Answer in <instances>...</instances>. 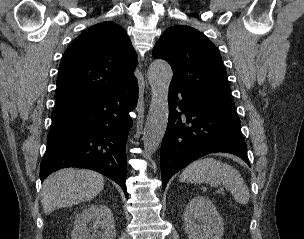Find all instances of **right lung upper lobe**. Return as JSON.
<instances>
[{"mask_svg": "<svg viewBox=\"0 0 304 239\" xmlns=\"http://www.w3.org/2000/svg\"><path fill=\"white\" fill-rule=\"evenodd\" d=\"M136 65L125 29L111 21L91 26L64 53L52 115L76 109L135 79Z\"/></svg>", "mask_w": 304, "mask_h": 239, "instance_id": "obj_1", "label": "right lung upper lobe"}]
</instances>
